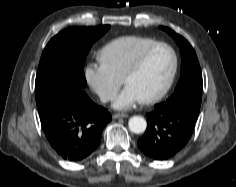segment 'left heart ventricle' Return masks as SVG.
<instances>
[{"label": "left heart ventricle", "instance_id": "left-heart-ventricle-1", "mask_svg": "<svg viewBox=\"0 0 236 187\" xmlns=\"http://www.w3.org/2000/svg\"><path fill=\"white\" fill-rule=\"evenodd\" d=\"M172 68V55L166 48H158L147 57L138 73L126 81L145 99L159 92L169 77Z\"/></svg>", "mask_w": 236, "mask_h": 187}]
</instances>
